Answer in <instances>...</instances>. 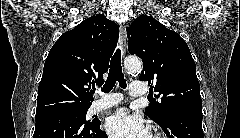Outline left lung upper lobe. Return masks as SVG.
<instances>
[{"mask_svg":"<svg viewBox=\"0 0 240 138\" xmlns=\"http://www.w3.org/2000/svg\"><path fill=\"white\" fill-rule=\"evenodd\" d=\"M128 50L143 61L140 79L148 81L161 102L151 103L145 114L162 124L174 110L201 105L196 65L186 42L153 17L140 15L127 28Z\"/></svg>","mask_w":240,"mask_h":138,"instance_id":"1","label":"left lung upper lobe"}]
</instances>
